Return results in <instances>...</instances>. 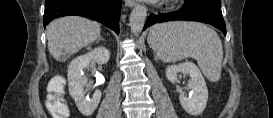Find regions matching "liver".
Wrapping results in <instances>:
<instances>
[{"mask_svg":"<svg viewBox=\"0 0 273 118\" xmlns=\"http://www.w3.org/2000/svg\"><path fill=\"white\" fill-rule=\"evenodd\" d=\"M100 36V24L81 17H62L47 26L48 50L57 60H65Z\"/></svg>","mask_w":273,"mask_h":118,"instance_id":"6515ba94","label":"liver"}]
</instances>
